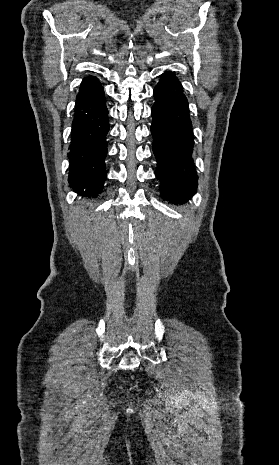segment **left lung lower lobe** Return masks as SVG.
I'll use <instances>...</instances> for the list:
<instances>
[{
	"mask_svg": "<svg viewBox=\"0 0 279 465\" xmlns=\"http://www.w3.org/2000/svg\"><path fill=\"white\" fill-rule=\"evenodd\" d=\"M153 95L152 149L161 195L170 201H186L196 193L198 180L192 160L194 136L188 101L172 72L162 74Z\"/></svg>",
	"mask_w": 279,
	"mask_h": 465,
	"instance_id": "1",
	"label": "left lung lower lobe"
}]
</instances>
